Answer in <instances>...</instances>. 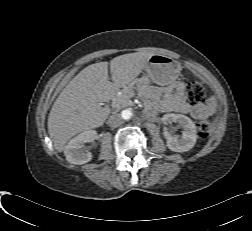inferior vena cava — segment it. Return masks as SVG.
Segmentation results:
<instances>
[{"instance_id":"602c4592","label":"inferior vena cava","mask_w":252,"mask_h":231,"mask_svg":"<svg viewBox=\"0 0 252 231\" xmlns=\"http://www.w3.org/2000/svg\"><path fill=\"white\" fill-rule=\"evenodd\" d=\"M107 124L110 127L116 128L122 124V118L119 114H113L109 117Z\"/></svg>"}]
</instances>
